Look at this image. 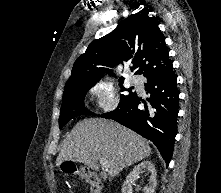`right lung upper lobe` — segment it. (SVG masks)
I'll list each match as a JSON object with an SVG mask.
<instances>
[{"label": "right lung upper lobe", "instance_id": "right-lung-upper-lobe-1", "mask_svg": "<svg viewBox=\"0 0 221 193\" xmlns=\"http://www.w3.org/2000/svg\"><path fill=\"white\" fill-rule=\"evenodd\" d=\"M122 61L138 68L135 74L147 77L172 67L165 38L156 18L135 14L124 20L116 30L90 43L74 63L66 88L94 86L107 71ZM124 78L121 77L120 81Z\"/></svg>", "mask_w": 221, "mask_h": 193}]
</instances>
